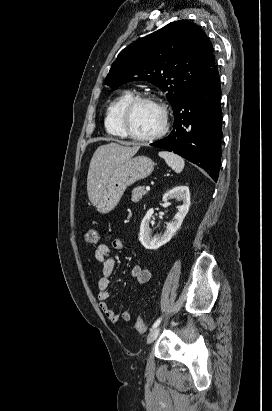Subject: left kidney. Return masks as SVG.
I'll use <instances>...</instances> for the list:
<instances>
[{
	"mask_svg": "<svg viewBox=\"0 0 272 411\" xmlns=\"http://www.w3.org/2000/svg\"><path fill=\"white\" fill-rule=\"evenodd\" d=\"M174 198L177 201H181L182 205L179 207L178 213L175 215L174 221L167 224V228L163 234L156 235L154 237H152L151 235L149 223L154 213L153 208L149 209L146 215L144 216L140 226L139 240L146 249L155 250L163 246L171 240V238L174 236L177 230L181 227V224L185 216L187 215L190 207V192L188 186H177L169 190L164 194L162 200L164 202H168L170 199Z\"/></svg>",
	"mask_w": 272,
	"mask_h": 411,
	"instance_id": "obj_1",
	"label": "left kidney"
}]
</instances>
